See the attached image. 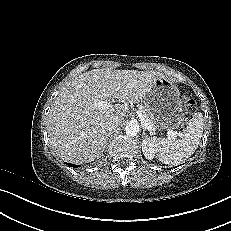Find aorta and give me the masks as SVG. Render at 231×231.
I'll return each mask as SVG.
<instances>
[{"instance_id":"aorta-1","label":"aorta","mask_w":231,"mask_h":231,"mask_svg":"<svg viewBox=\"0 0 231 231\" xmlns=\"http://www.w3.org/2000/svg\"><path fill=\"white\" fill-rule=\"evenodd\" d=\"M139 125L136 122H129L125 126V133L128 136H136L139 133Z\"/></svg>"}]
</instances>
